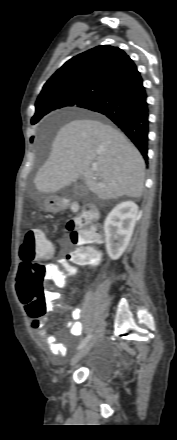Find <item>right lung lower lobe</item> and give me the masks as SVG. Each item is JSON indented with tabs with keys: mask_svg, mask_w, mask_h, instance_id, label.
Masks as SVG:
<instances>
[{
	"mask_svg": "<svg viewBox=\"0 0 177 440\" xmlns=\"http://www.w3.org/2000/svg\"><path fill=\"white\" fill-rule=\"evenodd\" d=\"M146 99L147 94L139 74L86 109L111 119L131 139L147 161L149 109Z\"/></svg>",
	"mask_w": 177,
	"mask_h": 440,
	"instance_id": "obj_1",
	"label": "right lung lower lobe"
}]
</instances>
